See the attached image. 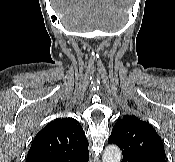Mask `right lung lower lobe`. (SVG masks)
Returning <instances> with one entry per match:
<instances>
[{
  "mask_svg": "<svg viewBox=\"0 0 175 162\" xmlns=\"http://www.w3.org/2000/svg\"><path fill=\"white\" fill-rule=\"evenodd\" d=\"M84 162H88V159H87V160H85Z\"/></svg>",
  "mask_w": 175,
  "mask_h": 162,
  "instance_id": "right-lung-lower-lobe-1",
  "label": "right lung lower lobe"
}]
</instances>
